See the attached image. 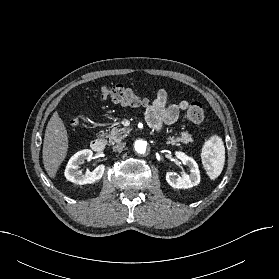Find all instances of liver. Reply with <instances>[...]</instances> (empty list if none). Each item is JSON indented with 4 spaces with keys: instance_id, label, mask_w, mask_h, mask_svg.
<instances>
[{
    "instance_id": "liver-1",
    "label": "liver",
    "mask_w": 279,
    "mask_h": 279,
    "mask_svg": "<svg viewBox=\"0 0 279 279\" xmlns=\"http://www.w3.org/2000/svg\"><path fill=\"white\" fill-rule=\"evenodd\" d=\"M67 151V130L58 112L55 111L47 124L42 150L44 168L51 178H55Z\"/></svg>"
}]
</instances>
